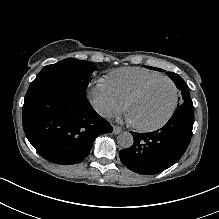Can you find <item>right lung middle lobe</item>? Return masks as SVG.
<instances>
[{
    "label": "right lung middle lobe",
    "instance_id": "right-lung-middle-lobe-1",
    "mask_svg": "<svg viewBox=\"0 0 219 219\" xmlns=\"http://www.w3.org/2000/svg\"><path fill=\"white\" fill-rule=\"evenodd\" d=\"M96 67L89 61L67 58L45 66L32 82H57L74 86L85 92Z\"/></svg>",
    "mask_w": 219,
    "mask_h": 219
}]
</instances>
